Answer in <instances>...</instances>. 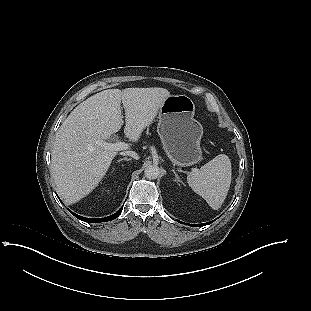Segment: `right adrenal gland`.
<instances>
[{
    "instance_id": "right-adrenal-gland-1",
    "label": "right adrenal gland",
    "mask_w": 311,
    "mask_h": 311,
    "mask_svg": "<svg viewBox=\"0 0 311 311\" xmlns=\"http://www.w3.org/2000/svg\"><path fill=\"white\" fill-rule=\"evenodd\" d=\"M123 160H124V161H129L130 159H128V158L125 157V158L119 159L117 162H121V161H123Z\"/></svg>"
}]
</instances>
